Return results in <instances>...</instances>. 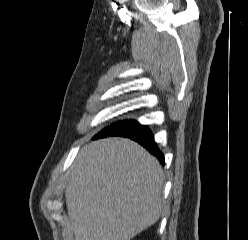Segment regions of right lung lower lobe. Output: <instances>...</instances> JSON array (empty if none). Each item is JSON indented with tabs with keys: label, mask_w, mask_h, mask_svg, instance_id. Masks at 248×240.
Instances as JSON below:
<instances>
[{
	"label": "right lung lower lobe",
	"mask_w": 248,
	"mask_h": 240,
	"mask_svg": "<svg viewBox=\"0 0 248 240\" xmlns=\"http://www.w3.org/2000/svg\"><path fill=\"white\" fill-rule=\"evenodd\" d=\"M108 136H122L128 137L146 148L151 154L156 156L161 164L164 165V155L157 147L154 141L151 131L144 125H140L135 120L130 121H120L113 123L109 127L99 132L93 137V139H98Z\"/></svg>",
	"instance_id": "1"
}]
</instances>
